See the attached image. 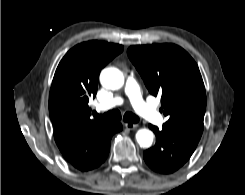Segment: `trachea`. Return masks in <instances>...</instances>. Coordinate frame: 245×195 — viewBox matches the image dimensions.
I'll use <instances>...</instances> for the list:
<instances>
[{"label": "trachea", "instance_id": "obj_1", "mask_svg": "<svg viewBox=\"0 0 245 195\" xmlns=\"http://www.w3.org/2000/svg\"><path fill=\"white\" fill-rule=\"evenodd\" d=\"M95 116L101 117L103 119L110 120V121H117L121 119V113L118 110H112L103 115H99L95 113ZM123 120L125 122L137 123L139 121V117L133 114L132 112H127L124 114Z\"/></svg>", "mask_w": 245, "mask_h": 195}]
</instances>
